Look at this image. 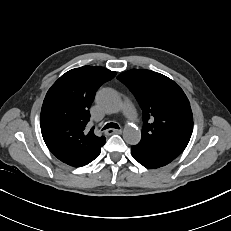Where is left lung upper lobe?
<instances>
[{"mask_svg":"<svg viewBox=\"0 0 231 231\" xmlns=\"http://www.w3.org/2000/svg\"><path fill=\"white\" fill-rule=\"evenodd\" d=\"M135 95L143 112L139 144L160 146L181 154L193 130L188 98L170 78L144 69H132L117 77Z\"/></svg>","mask_w":231,"mask_h":231,"instance_id":"5c2ea615","label":"left lung upper lobe"}]
</instances>
